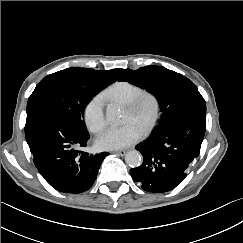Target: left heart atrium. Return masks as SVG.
<instances>
[{"label":"left heart atrium","instance_id":"left-heart-atrium-1","mask_svg":"<svg viewBox=\"0 0 243 243\" xmlns=\"http://www.w3.org/2000/svg\"><path fill=\"white\" fill-rule=\"evenodd\" d=\"M143 136V131L134 123L120 127H110L101 133L96 144L103 150H116L137 143Z\"/></svg>","mask_w":243,"mask_h":243}]
</instances>
